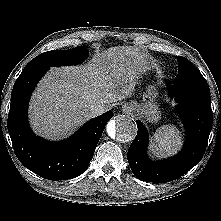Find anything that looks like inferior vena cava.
I'll return each instance as SVG.
<instances>
[{
  "instance_id": "1",
  "label": "inferior vena cava",
  "mask_w": 221,
  "mask_h": 221,
  "mask_svg": "<svg viewBox=\"0 0 221 221\" xmlns=\"http://www.w3.org/2000/svg\"><path fill=\"white\" fill-rule=\"evenodd\" d=\"M106 110L105 105L97 103L90 106V113L92 116H98L104 113Z\"/></svg>"
}]
</instances>
